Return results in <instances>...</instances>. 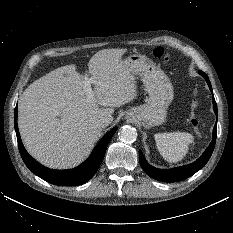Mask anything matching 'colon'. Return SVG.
Wrapping results in <instances>:
<instances>
[{
  "label": "colon",
  "instance_id": "5ec220e1",
  "mask_svg": "<svg viewBox=\"0 0 233 233\" xmlns=\"http://www.w3.org/2000/svg\"><path fill=\"white\" fill-rule=\"evenodd\" d=\"M153 55L156 58H160L163 59L167 62L171 61V57L168 53L165 52V50L162 47H157L153 50ZM199 106V101L197 96H195L192 101H191V112H190V117H189V122L191 124V126L193 127L194 130H198L199 129V119L196 115V111L198 109Z\"/></svg>",
  "mask_w": 233,
  "mask_h": 233
}]
</instances>
